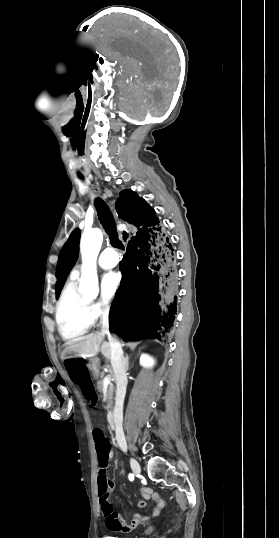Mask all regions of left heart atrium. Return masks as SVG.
Wrapping results in <instances>:
<instances>
[{"mask_svg": "<svg viewBox=\"0 0 279 538\" xmlns=\"http://www.w3.org/2000/svg\"><path fill=\"white\" fill-rule=\"evenodd\" d=\"M120 284V276L116 272L107 273L102 279V289L105 297H112Z\"/></svg>", "mask_w": 279, "mask_h": 538, "instance_id": "1", "label": "left heart atrium"}]
</instances>
